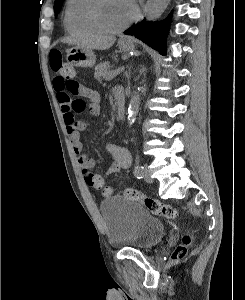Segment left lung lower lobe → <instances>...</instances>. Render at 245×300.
I'll use <instances>...</instances> for the list:
<instances>
[{
    "label": "left lung lower lobe",
    "instance_id": "1",
    "mask_svg": "<svg viewBox=\"0 0 245 300\" xmlns=\"http://www.w3.org/2000/svg\"><path fill=\"white\" fill-rule=\"evenodd\" d=\"M171 13L168 17L159 22L141 21L139 24L130 27L124 33L134 35L147 45L159 51L161 54L166 53V39L170 27Z\"/></svg>",
    "mask_w": 245,
    "mask_h": 300
}]
</instances>
